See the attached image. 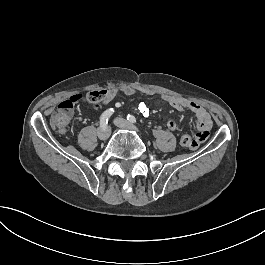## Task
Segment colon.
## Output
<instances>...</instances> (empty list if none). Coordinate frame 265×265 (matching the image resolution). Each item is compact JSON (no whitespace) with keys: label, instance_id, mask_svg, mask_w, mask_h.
<instances>
[{"label":"colon","instance_id":"colon-1","mask_svg":"<svg viewBox=\"0 0 265 265\" xmlns=\"http://www.w3.org/2000/svg\"><path fill=\"white\" fill-rule=\"evenodd\" d=\"M77 98L97 110L110 100V95L105 90L88 91L84 95H78V97L76 95H71L62 103L61 108L53 113L51 117V123L53 126L62 127L67 123L68 117L66 116V112L73 108V104L76 103ZM192 141L191 135H184L181 138V144L187 148H191Z\"/></svg>","mask_w":265,"mask_h":265}]
</instances>
